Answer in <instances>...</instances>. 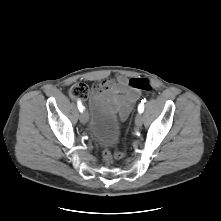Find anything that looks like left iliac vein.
Segmentation results:
<instances>
[{"label": "left iliac vein", "mask_w": 221, "mask_h": 221, "mask_svg": "<svg viewBox=\"0 0 221 221\" xmlns=\"http://www.w3.org/2000/svg\"><path fill=\"white\" fill-rule=\"evenodd\" d=\"M143 123V116L141 113H138L135 117V125L137 128H140Z\"/></svg>", "instance_id": "left-iliac-vein-1"}]
</instances>
